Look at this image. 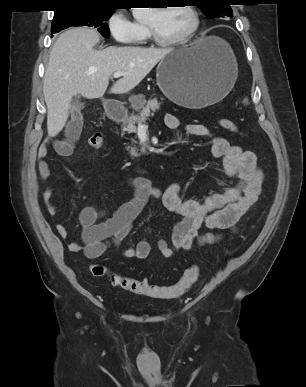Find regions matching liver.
<instances>
[{"instance_id":"obj_1","label":"liver","mask_w":306,"mask_h":387,"mask_svg":"<svg viewBox=\"0 0 306 387\" xmlns=\"http://www.w3.org/2000/svg\"><path fill=\"white\" fill-rule=\"evenodd\" d=\"M100 37L96 30L78 27L62 33L54 43L43 80L47 105V131L56 136L65 126L72 97L87 99L104 95L115 72L125 75L110 93L126 94L134 89L173 48L109 46L95 50Z\"/></svg>"}]
</instances>
